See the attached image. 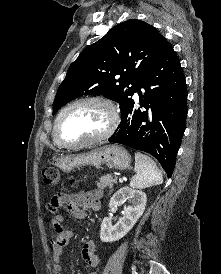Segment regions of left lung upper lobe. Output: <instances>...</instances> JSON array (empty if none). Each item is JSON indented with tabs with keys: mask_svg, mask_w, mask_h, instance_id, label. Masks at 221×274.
I'll use <instances>...</instances> for the list:
<instances>
[{
	"mask_svg": "<svg viewBox=\"0 0 221 274\" xmlns=\"http://www.w3.org/2000/svg\"><path fill=\"white\" fill-rule=\"evenodd\" d=\"M169 46L154 27L141 20L114 26L70 65L57 90L53 114L84 94L104 95L123 108L136 92L141 75Z\"/></svg>",
	"mask_w": 221,
	"mask_h": 274,
	"instance_id": "left-lung-upper-lobe-1",
	"label": "left lung upper lobe"
}]
</instances>
